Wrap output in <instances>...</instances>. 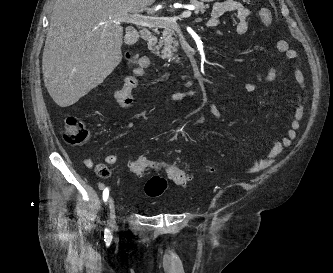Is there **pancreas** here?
Masks as SVG:
<instances>
[{"mask_svg":"<svg viewBox=\"0 0 333 273\" xmlns=\"http://www.w3.org/2000/svg\"><path fill=\"white\" fill-rule=\"evenodd\" d=\"M190 3L195 6V13H204L205 9L208 8L202 2L197 0H190ZM178 30V25H172L165 28L162 32V37L160 38L158 45L155 47V54L159 55V49L162 48L161 55L162 59H169V61L174 60V54L177 52L178 41L175 40L173 36H176V31ZM179 61V58L177 59Z\"/></svg>","mask_w":333,"mask_h":273,"instance_id":"obj_1","label":"pancreas"}]
</instances>
